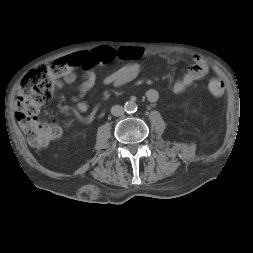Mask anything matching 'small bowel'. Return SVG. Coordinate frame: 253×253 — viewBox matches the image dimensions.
<instances>
[{
    "mask_svg": "<svg viewBox=\"0 0 253 253\" xmlns=\"http://www.w3.org/2000/svg\"><path fill=\"white\" fill-rule=\"evenodd\" d=\"M146 54L141 47L111 48L100 46L90 51L75 52L66 56L71 62L70 71L62 77L63 81H57L58 86L63 82L72 85L77 81L76 69L82 70V80L77 85V94L73 96V105L60 104L59 110L67 116L73 114L83 122H90L97 113V107L90 108L89 104L84 101L87 93L95 86L97 74L95 68L100 65L108 64L115 59L126 61L124 65L107 74L102 83L105 86L121 87L134 81L140 73V58ZM209 66L204 58L199 55H193L192 63L188 66L186 72L181 78L174 81L172 92L175 94L182 93L187 87L194 82L202 79L207 75ZM146 97L150 102H156L159 99V92L156 89H149Z\"/></svg>",
    "mask_w": 253,
    "mask_h": 253,
    "instance_id": "obj_1",
    "label": "small bowel"
}]
</instances>
